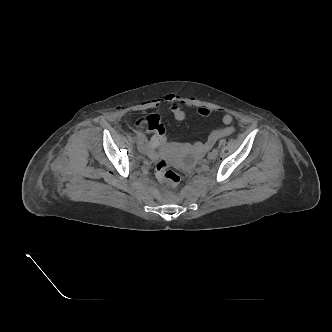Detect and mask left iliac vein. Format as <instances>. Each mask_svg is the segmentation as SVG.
<instances>
[{
    "mask_svg": "<svg viewBox=\"0 0 332 332\" xmlns=\"http://www.w3.org/2000/svg\"><path fill=\"white\" fill-rule=\"evenodd\" d=\"M216 154L214 153V152H210L209 154H208V159L209 160H213V159H215L216 158Z\"/></svg>",
    "mask_w": 332,
    "mask_h": 332,
    "instance_id": "4c4485c4",
    "label": "left iliac vein"
}]
</instances>
